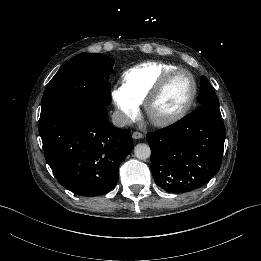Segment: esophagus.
I'll use <instances>...</instances> for the list:
<instances>
[{"instance_id": "esophagus-1", "label": "esophagus", "mask_w": 261, "mask_h": 261, "mask_svg": "<svg viewBox=\"0 0 261 261\" xmlns=\"http://www.w3.org/2000/svg\"><path fill=\"white\" fill-rule=\"evenodd\" d=\"M132 137L134 139H141V138H143V134L141 132H133Z\"/></svg>"}]
</instances>
